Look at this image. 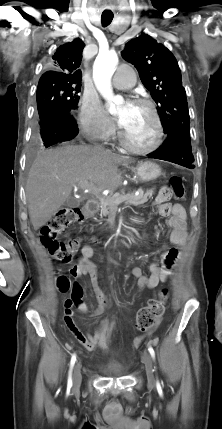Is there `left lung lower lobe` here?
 Listing matches in <instances>:
<instances>
[{
	"mask_svg": "<svg viewBox=\"0 0 222 429\" xmlns=\"http://www.w3.org/2000/svg\"><path fill=\"white\" fill-rule=\"evenodd\" d=\"M149 157L165 160L187 167L195 168L192 154L190 134L178 132L169 135L156 151L148 154Z\"/></svg>",
	"mask_w": 222,
	"mask_h": 429,
	"instance_id": "1",
	"label": "left lung lower lobe"
}]
</instances>
